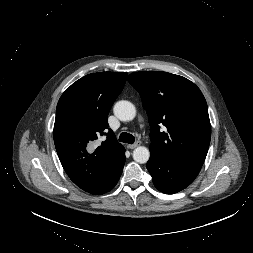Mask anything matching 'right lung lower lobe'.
Returning a JSON list of instances; mask_svg holds the SVG:
<instances>
[{
	"label": "right lung lower lobe",
	"instance_id": "1",
	"mask_svg": "<svg viewBox=\"0 0 253 253\" xmlns=\"http://www.w3.org/2000/svg\"><path fill=\"white\" fill-rule=\"evenodd\" d=\"M124 164H125V152L120 156L119 160L117 161L115 166L112 168L108 176L105 178V180L102 183H100L98 186L93 188L89 193L100 195L114 188V186L117 184L122 174Z\"/></svg>",
	"mask_w": 253,
	"mask_h": 253
}]
</instances>
